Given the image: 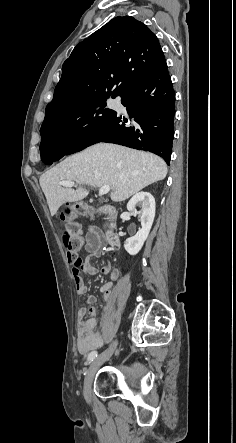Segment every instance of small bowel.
<instances>
[{
	"instance_id": "c3829d8e",
	"label": "small bowel",
	"mask_w": 236,
	"mask_h": 443,
	"mask_svg": "<svg viewBox=\"0 0 236 443\" xmlns=\"http://www.w3.org/2000/svg\"><path fill=\"white\" fill-rule=\"evenodd\" d=\"M105 247L106 240L103 234L94 227L88 228L85 236V248L89 256L81 265L80 269L72 268L77 293L85 294L88 290V286L82 277V272L89 275H97L99 272L101 274H107L110 271L111 266L109 263L103 266L99 271L90 261L91 258L101 257L104 254ZM118 277L119 271L117 269H113L111 272V281L105 283L100 288L106 299H110L112 297L111 289L113 288L114 282L118 279ZM86 302L90 306L82 307L78 314L80 321L77 330V350L81 354H86L95 348H98L102 344V334L97 327L98 320L95 317L97 310L95 307H93V305L98 302V298L91 295L87 297ZM85 315L92 317L85 320L83 319Z\"/></svg>"
}]
</instances>
